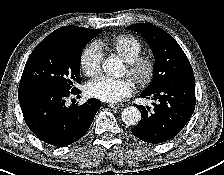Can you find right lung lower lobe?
I'll return each instance as SVG.
<instances>
[{"label": "right lung lower lobe", "instance_id": "obj_1", "mask_svg": "<svg viewBox=\"0 0 224 175\" xmlns=\"http://www.w3.org/2000/svg\"><path fill=\"white\" fill-rule=\"evenodd\" d=\"M80 90L45 85L19 86L18 98L25 122L42 141L56 147L68 146L88 131L101 102L95 98L82 105L67 106L66 100Z\"/></svg>", "mask_w": 224, "mask_h": 175}]
</instances>
